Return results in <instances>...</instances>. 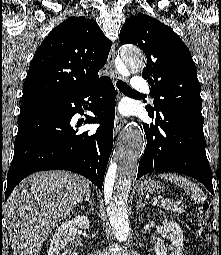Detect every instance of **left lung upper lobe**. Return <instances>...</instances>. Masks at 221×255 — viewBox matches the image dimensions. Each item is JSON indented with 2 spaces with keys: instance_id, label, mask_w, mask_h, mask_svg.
<instances>
[{
  "instance_id": "left-lung-upper-lobe-1",
  "label": "left lung upper lobe",
  "mask_w": 221,
  "mask_h": 255,
  "mask_svg": "<svg viewBox=\"0 0 221 255\" xmlns=\"http://www.w3.org/2000/svg\"><path fill=\"white\" fill-rule=\"evenodd\" d=\"M119 40L139 46L147 57L142 77L148 80L155 98L154 108H146L149 115L174 107L202 117L195 64L186 45L170 27L148 15H135L125 21Z\"/></svg>"
}]
</instances>
